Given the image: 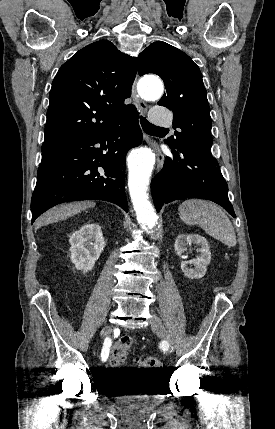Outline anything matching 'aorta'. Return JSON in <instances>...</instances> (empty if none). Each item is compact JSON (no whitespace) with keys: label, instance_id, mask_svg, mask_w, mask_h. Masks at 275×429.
<instances>
[{"label":"aorta","instance_id":"obj_1","mask_svg":"<svg viewBox=\"0 0 275 429\" xmlns=\"http://www.w3.org/2000/svg\"><path fill=\"white\" fill-rule=\"evenodd\" d=\"M164 91L156 77H146L140 82V94L145 100H157ZM155 163V154L148 148H140L130 157L128 187L138 223L148 233L153 232L158 217L148 200L149 179Z\"/></svg>","mask_w":275,"mask_h":429}]
</instances>
